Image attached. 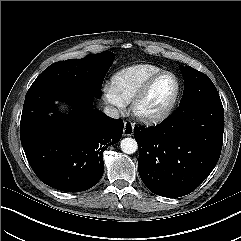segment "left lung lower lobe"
I'll return each instance as SVG.
<instances>
[{
    "label": "left lung lower lobe",
    "instance_id": "1",
    "mask_svg": "<svg viewBox=\"0 0 241 241\" xmlns=\"http://www.w3.org/2000/svg\"><path fill=\"white\" fill-rule=\"evenodd\" d=\"M224 131L221 102L195 101L155 127L134 128L138 171L154 194L176 198L195 190L217 164Z\"/></svg>",
    "mask_w": 241,
    "mask_h": 241
}]
</instances>
